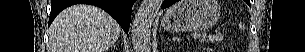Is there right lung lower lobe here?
Wrapping results in <instances>:
<instances>
[{
	"mask_svg": "<svg viewBox=\"0 0 305 52\" xmlns=\"http://www.w3.org/2000/svg\"><path fill=\"white\" fill-rule=\"evenodd\" d=\"M135 0H52L49 26L55 17L66 7L74 4H90L105 10L128 33L131 9Z\"/></svg>",
	"mask_w": 305,
	"mask_h": 52,
	"instance_id": "obj_1",
	"label": "right lung lower lobe"
}]
</instances>
